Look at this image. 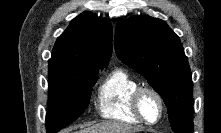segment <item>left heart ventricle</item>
Listing matches in <instances>:
<instances>
[{
    "label": "left heart ventricle",
    "instance_id": "1",
    "mask_svg": "<svg viewBox=\"0 0 221 133\" xmlns=\"http://www.w3.org/2000/svg\"><path fill=\"white\" fill-rule=\"evenodd\" d=\"M141 107L145 118L151 122L157 120L160 108L157 100L152 95H145L141 101Z\"/></svg>",
    "mask_w": 221,
    "mask_h": 133
}]
</instances>
